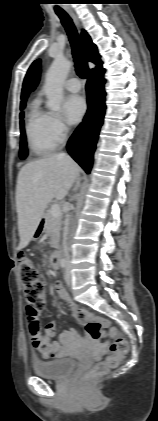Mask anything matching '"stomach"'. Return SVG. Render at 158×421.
<instances>
[{"instance_id": "0dacf381", "label": "stomach", "mask_w": 158, "mask_h": 421, "mask_svg": "<svg viewBox=\"0 0 158 421\" xmlns=\"http://www.w3.org/2000/svg\"><path fill=\"white\" fill-rule=\"evenodd\" d=\"M42 230H43V224L40 221V223H39V225H38V227H37V229H36L33 237H35V238L38 237L41 234Z\"/></svg>"}]
</instances>
